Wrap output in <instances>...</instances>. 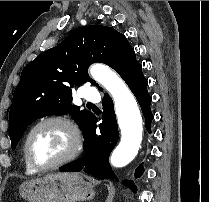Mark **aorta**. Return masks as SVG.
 I'll use <instances>...</instances> for the list:
<instances>
[{"mask_svg":"<svg viewBox=\"0 0 209 202\" xmlns=\"http://www.w3.org/2000/svg\"><path fill=\"white\" fill-rule=\"evenodd\" d=\"M90 74L111 94L121 130V140L112 152L110 162L115 167L126 166L136 157L142 142V117L136 99L124 81L109 67L94 65L90 68Z\"/></svg>","mask_w":209,"mask_h":202,"instance_id":"762f6f07","label":"aorta"}]
</instances>
